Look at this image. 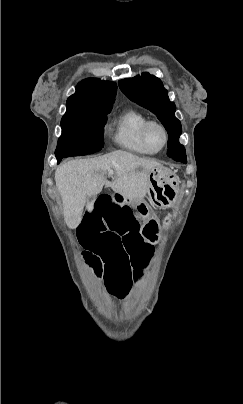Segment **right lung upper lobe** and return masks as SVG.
Here are the masks:
<instances>
[{
    "instance_id": "1",
    "label": "right lung upper lobe",
    "mask_w": 243,
    "mask_h": 404,
    "mask_svg": "<svg viewBox=\"0 0 243 404\" xmlns=\"http://www.w3.org/2000/svg\"><path fill=\"white\" fill-rule=\"evenodd\" d=\"M116 92L114 82L96 78L82 80L76 86V93L67 99L66 113L92 112L112 107Z\"/></svg>"
}]
</instances>
